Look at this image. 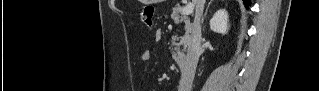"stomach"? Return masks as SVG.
Segmentation results:
<instances>
[{
    "mask_svg": "<svg viewBox=\"0 0 319 91\" xmlns=\"http://www.w3.org/2000/svg\"><path fill=\"white\" fill-rule=\"evenodd\" d=\"M144 3H155L158 2L159 0H143Z\"/></svg>",
    "mask_w": 319,
    "mask_h": 91,
    "instance_id": "stomach-1",
    "label": "stomach"
}]
</instances>
